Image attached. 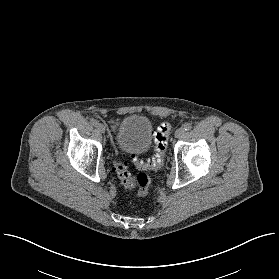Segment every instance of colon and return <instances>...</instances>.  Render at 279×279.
I'll return each mask as SVG.
<instances>
[{
    "instance_id": "1",
    "label": "colon",
    "mask_w": 279,
    "mask_h": 279,
    "mask_svg": "<svg viewBox=\"0 0 279 279\" xmlns=\"http://www.w3.org/2000/svg\"><path fill=\"white\" fill-rule=\"evenodd\" d=\"M172 125L168 121H164L158 125L154 136L155 156L150 161H145L137 153L131 155V160L143 170H158L162 167L164 156L167 149L168 135ZM113 170L121 180L122 184L127 188H134L139 194L145 195L149 190V180L143 175H132L127 168V162L123 158H117L113 162Z\"/></svg>"
}]
</instances>
